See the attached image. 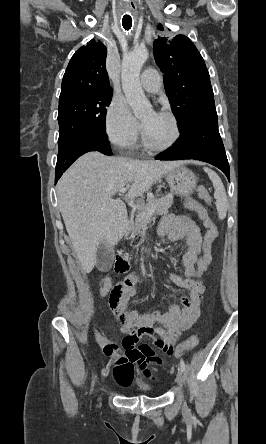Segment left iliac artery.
<instances>
[{"label":"left iliac artery","instance_id":"1","mask_svg":"<svg viewBox=\"0 0 266 444\" xmlns=\"http://www.w3.org/2000/svg\"><path fill=\"white\" fill-rule=\"evenodd\" d=\"M180 367H181L183 372L186 371V365H185V363H184V361L182 359L180 360Z\"/></svg>","mask_w":266,"mask_h":444}]
</instances>
